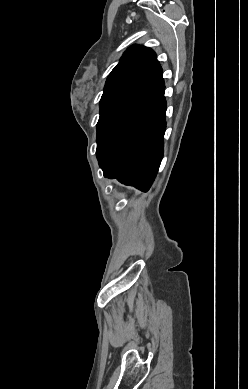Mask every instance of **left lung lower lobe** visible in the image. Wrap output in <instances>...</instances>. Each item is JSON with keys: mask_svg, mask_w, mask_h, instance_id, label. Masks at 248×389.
Returning a JSON list of instances; mask_svg holds the SVG:
<instances>
[{"mask_svg": "<svg viewBox=\"0 0 248 389\" xmlns=\"http://www.w3.org/2000/svg\"><path fill=\"white\" fill-rule=\"evenodd\" d=\"M165 85L158 61L100 112L96 150L104 176L149 190L163 158Z\"/></svg>", "mask_w": 248, "mask_h": 389, "instance_id": "1", "label": "left lung lower lobe"}]
</instances>
